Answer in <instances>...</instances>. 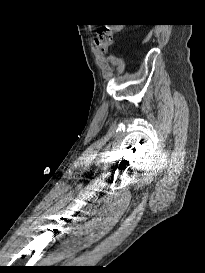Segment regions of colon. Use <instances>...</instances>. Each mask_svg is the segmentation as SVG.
I'll list each match as a JSON object with an SVG mask.
<instances>
[{"label": "colon", "instance_id": "obj_1", "mask_svg": "<svg viewBox=\"0 0 205 273\" xmlns=\"http://www.w3.org/2000/svg\"><path fill=\"white\" fill-rule=\"evenodd\" d=\"M113 43V35L109 28L100 27L97 31V37L95 39V47L101 54L108 52Z\"/></svg>", "mask_w": 205, "mask_h": 273}]
</instances>
